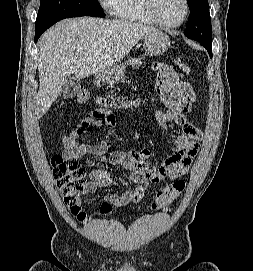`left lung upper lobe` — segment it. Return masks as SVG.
Here are the masks:
<instances>
[{
  "mask_svg": "<svg viewBox=\"0 0 253 271\" xmlns=\"http://www.w3.org/2000/svg\"><path fill=\"white\" fill-rule=\"evenodd\" d=\"M190 15L187 22L185 36L201 44L212 43V27L208 0H187Z\"/></svg>",
  "mask_w": 253,
  "mask_h": 271,
  "instance_id": "5c2ea615",
  "label": "left lung upper lobe"
}]
</instances>
